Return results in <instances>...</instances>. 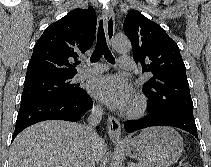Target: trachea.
Segmentation results:
<instances>
[{"label": "trachea", "instance_id": "trachea-1", "mask_svg": "<svg viewBox=\"0 0 211 167\" xmlns=\"http://www.w3.org/2000/svg\"><path fill=\"white\" fill-rule=\"evenodd\" d=\"M102 55H104L105 59L108 62L114 63V57L106 43L105 33L103 29V21L101 20L99 22V27H98L97 45L95 51L93 52L90 58L91 62L99 61Z\"/></svg>", "mask_w": 211, "mask_h": 167}]
</instances>
